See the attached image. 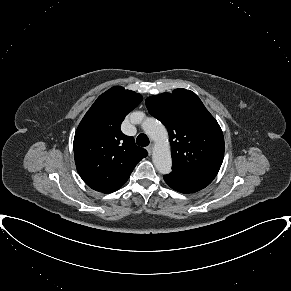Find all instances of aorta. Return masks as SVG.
<instances>
[{
	"mask_svg": "<svg viewBox=\"0 0 291 291\" xmlns=\"http://www.w3.org/2000/svg\"><path fill=\"white\" fill-rule=\"evenodd\" d=\"M142 113L133 114L135 119H140ZM141 126L145 133L155 142V148L152 154V160L155 168L161 174L171 172L172 158L168 141V132L165 126L154 118H146L142 121Z\"/></svg>",
	"mask_w": 291,
	"mask_h": 291,
	"instance_id": "762f6f07",
	"label": "aorta"
}]
</instances>
